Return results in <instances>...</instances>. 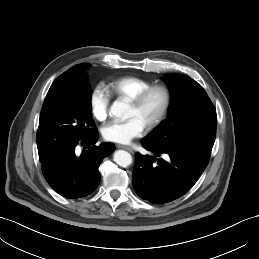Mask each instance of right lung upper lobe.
<instances>
[{
  "label": "right lung upper lobe",
  "instance_id": "obj_1",
  "mask_svg": "<svg viewBox=\"0 0 259 259\" xmlns=\"http://www.w3.org/2000/svg\"><path fill=\"white\" fill-rule=\"evenodd\" d=\"M86 63L75 65L61 74L51 85L45 100H51L65 93H71L81 88L80 69Z\"/></svg>",
  "mask_w": 259,
  "mask_h": 259
}]
</instances>
